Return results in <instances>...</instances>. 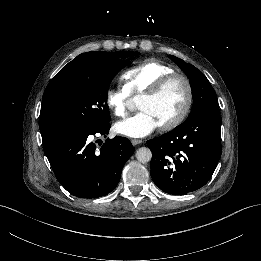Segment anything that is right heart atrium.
Segmentation results:
<instances>
[{
	"mask_svg": "<svg viewBox=\"0 0 261 261\" xmlns=\"http://www.w3.org/2000/svg\"><path fill=\"white\" fill-rule=\"evenodd\" d=\"M106 105L115 116L125 119L131 111V99L123 89H110L106 93Z\"/></svg>",
	"mask_w": 261,
	"mask_h": 261,
	"instance_id": "d8ad5b80",
	"label": "right heart atrium"
}]
</instances>
